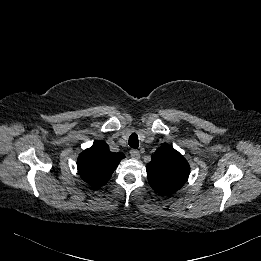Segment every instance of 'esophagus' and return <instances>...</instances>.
<instances>
[{
    "label": "esophagus",
    "instance_id": "esophagus-1",
    "mask_svg": "<svg viewBox=\"0 0 261 261\" xmlns=\"http://www.w3.org/2000/svg\"><path fill=\"white\" fill-rule=\"evenodd\" d=\"M130 156H131L132 159L138 160V159L140 158V153H139L138 150L132 149V150L130 151Z\"/></svg>",
    "mask_w": 261,
    "mask_h": 261
}]
</instances>
